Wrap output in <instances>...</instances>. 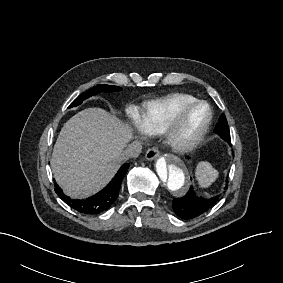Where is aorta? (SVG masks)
<instances>
[{
    "label": "aorta",
    "mask_w": 283,
    "mask_h": 283,
    "mask_svg": "<svg viewBox=\"0 0 283 283\" xmlns=\"http://www.w3.org/2000/svg\"><path fill=\"white\" fill-rule=\"evenodd\" d=\"M156 178L162 192L184 195L190 186V176L185 163L177 156L166 154L155 164Z\"/></svg>",
    "instance_id": "aorta-1"
}]
</instances>
